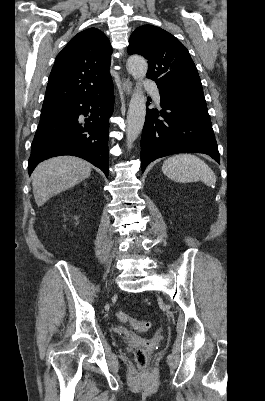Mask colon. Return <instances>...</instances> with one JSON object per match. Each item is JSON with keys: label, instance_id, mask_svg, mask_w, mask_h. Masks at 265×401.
Instances as JSON below:
<instances>
[{"label": "colon", "instance_id": "obj_1", "mask_svg": "<svg viewBox=\"0 0 265 401\" xmlns=\"http://www.w3.org/2000/svg\"><path fill=\"white\" fill-rule=\"evenodd\" d=\"M117 318L121 322L129 323L137 331L145 332L151 328V323L149 321H134L126 313L122 311L117 313ZM134 358L139 368H144L146 366L147 355L144 349L142 348L136 349L134 353Z\"/></svg>", "mask_w": 265, "mask_h": 401}]
</instances>
